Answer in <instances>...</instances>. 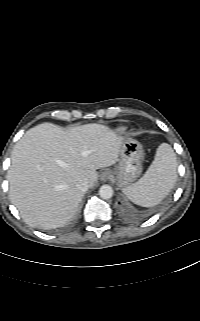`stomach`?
Listing matches in <instances>:
<instances>
[{"label":"stomach","mask_w":200,"mask_h":321,"mask_svg":"<svg viewBox=\"0 0 200 321\" xmlns=\"http://www.w3.org/2000/svg\"><path fill=\"white\" fill-rule=\"evenodd\" d=\"M118 164L110 171L120 188L130 186L142 173L144 150L135 139L127 138L123 141Z\"/></svg>","instance_id":"1"}]
</instances>
